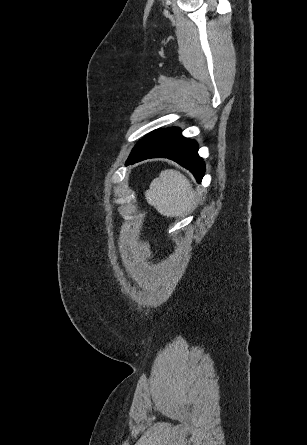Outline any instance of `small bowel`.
<instances>
[{
  "label": "small bowel",
  "instance_id": "obj_1",
  "mask_svg": "<svg viewBox=\"0 0 307 445\" xmlns=\"http://www.w3.org/2000/svg\"><path fill=\"white\" fill-rule=\"evenodd\" d=\"M141 251H142L141 253H142L144 256H148V254H149V248H148V245H145V246L142 248Z\"/></svg>",
  "mask_w": 307,
  "mask_h": 445
}]
</instances>
